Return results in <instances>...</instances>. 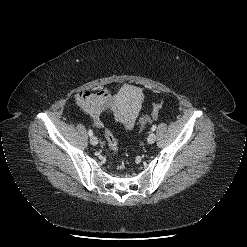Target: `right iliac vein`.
Wrapping results in <instances>:
<instances>
[{
    "instance_id": "obj_1",
    "label": "right iliac vein",
    "mask_w": 247,
    "mask_h": 247,
    "mask_svg": "<svg viewBox=\"0 0 247 247\" xmlns=\"http://www.w3.org/2000/svg\"><path fill=\"white\" fill-rule=\"evenodd\" d=\"M90 142H91L92 145H97V144H98V139H97V137L92 136V137L90 138Z\"/></svg>"
}]
</instances>
